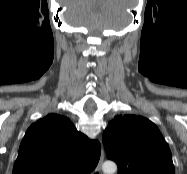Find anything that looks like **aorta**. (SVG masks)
<instances>
[{
	"instance_id": "obj_1",
	"label": "aorta",
	"mask_w": 187,
	"mask_h": 174,
	"mask_svg": "<svg viewBox=\"0 0 187 174\" xmlns=\"http://www.w3.org/2000/svg\"><path fill=\"white\" fill-rule=\"evenodd\" d=\"M102 169L105 174H114L117 170V165L112 161H106L104 162Z\"/></svg>"
}]
</instances>
